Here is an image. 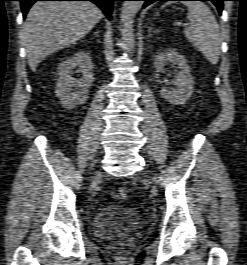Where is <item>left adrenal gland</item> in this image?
<instances>
[{
  "mask_svg": "<svg viewBox=\"0 0 247 265\" xmlns=\"http://www.w3.org/2000/svg\"><path fill=\"white\" fill-rule=\"evenodd\" d=\"M155 32H157V30H152V27H149V28H148V37H150L151 34H152V33H155Z\"/></svg>",
  "mask_w": 247,
  "mask_h": 265,
  "instance_id": "obj_1",
  "label": "left adrenal gland"
}]
</instances>
